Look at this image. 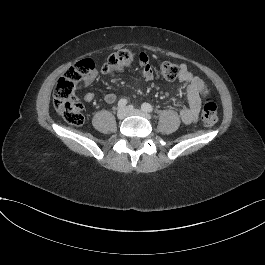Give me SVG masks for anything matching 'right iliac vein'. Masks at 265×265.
Listing matches in <instances>:
<instances>
[{
    "mask_svg": "<svg viewBox=\"0 0 265 265\" xmlns=\"http://www.w3.org/2000/svg\"><path fill=\"white\" fill-rule=\"evenodd\" d=\"M128 115V112L125 108H119L117 111V118L123 120Z\"/></svg>",
    "mask_w": 265,
    "mask_h": 265,
    "instance_id": "1",
    "label": "right iliac vein"
}]
</instances>
